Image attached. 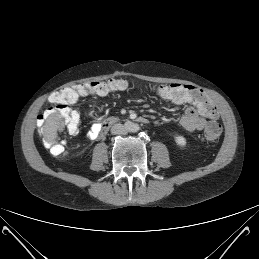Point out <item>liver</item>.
Listing matches in <instances>:
<instances>
[{"label": "liver", "mask_w": 259, "mask_h": 259, "mask_svg": "<svg viewBox=\"0 0 259 259\" xmlns=\"http://www.w3.org/2000/svg\"><path fill=\"white\" fill-rule=\"evenodd\" d=\"M58 131H63V124L59 115L55 113L45 121L42 129L43 138L51 143L58 137Z\"/></svg>", "instance_id": "obj_1"}]
</instances>
